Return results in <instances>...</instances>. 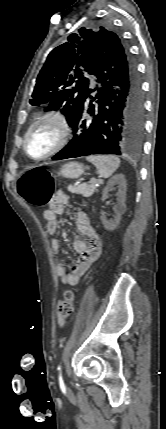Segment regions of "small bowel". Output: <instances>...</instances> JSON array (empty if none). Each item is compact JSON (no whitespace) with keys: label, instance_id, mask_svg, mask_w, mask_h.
Returning a JSON list of instances; mask_svg holds the SVG:
<instances>
[{"label":"small bowel","instance_id":"1","mask_svg":"<svg viewBox=\"0 0 166 429\" xmlns=\"http://www.w3.org/2000/svg\"><path fill=\"white\" fill-rule=\"evenodd\" d=\"M66 202L67 196L64 193L55 194L51 200L50 208L44 211V218L47 221V232L53 236L52 248L55 255L56 274L63 285L74 286L99 258L102 252V242L92 226L88 214L79 210L76 214L77 230L91 242L87 244L84 240L76 239L73 242V248L80 255L79 260L71 266H66L61 261L60 241L56 237V233L59 228L58 216L64 213Z\"/></svg>","mask_w":166,"mask_h":429}]
</instances>
